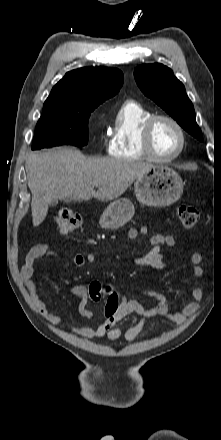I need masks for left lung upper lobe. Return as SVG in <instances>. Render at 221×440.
Here are the masks:
<instances>
[{
    "label": "left lung upper lobe",
    "mask_w": 221,
    "mask_h": 440,
    "mask_svg": "<svg viewBox=\"0 0 221 440\" xmlns=\"http://www.w3.org/2000/svg\"><path fill=\"white\" fill-rule=\"evenodd\" d=\"M135 80L141 91L169 115L188 133L203 141L196 123L195 111L184 85L170 68L159 64L141 65L134 70Z\"/></svg>",
    "instance_id": "5c2ea615"
}]
</instances>
